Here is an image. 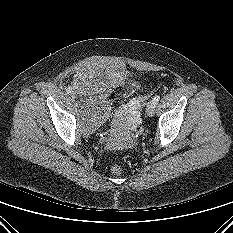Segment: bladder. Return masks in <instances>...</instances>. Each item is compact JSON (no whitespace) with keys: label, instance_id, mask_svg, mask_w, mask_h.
<instances>
[{"label":"bladder","instance_id":"31cf9c89","mask_svg":"<svg viewBox=\"0 0 233 233\" xmlns=\"http://www.w3.org/2000/svg\"><path fill=\"white\" fill-rule=\"evenodd\" d=\"M126 82L122 69L90 62L82 65L72 83L82 128L90 133L102 126L110 116L109 96ZM135 86L129 87V92Z\"/></svg>","mask_w":233,"mask_h":233}]
</instances>
